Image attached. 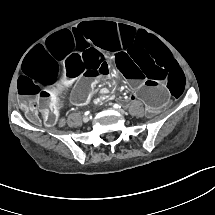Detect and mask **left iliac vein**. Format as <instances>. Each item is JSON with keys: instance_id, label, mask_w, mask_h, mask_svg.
I'll use <instances>...</instances> for the list:
<instances>
[{"instance_id": "obj_1", "label": "left iliac vein", "mask_w": 215, "mask_h": 215, "mask_svg": "<svg viewBox=\"0 0 215 215\" xmlns=\"http://www.w3.org/2000/svg\"><path fill=\"white\" fill-rule=\"evenodd\" d=\"M117 111H118L120 114H122V115L126 114V112H125L124 110H122V109H117Z\"/></svg>"}]
</instances>
